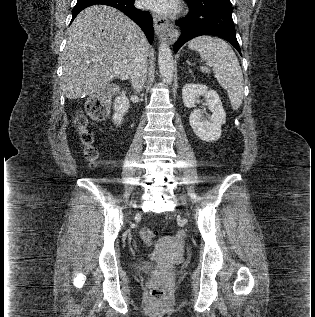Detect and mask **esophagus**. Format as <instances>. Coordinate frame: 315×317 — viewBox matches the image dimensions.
Returning a JSON list of instances; mask_svg holds the SVG:
<instances>
[{
	"label": "esophagus",
	"instance_id": "esophagus-1",
	"mask_svg": "<svg viewBox=\"0 0 315 317\" xmlns=\"http://www.w3.org/2000/svg\"><path fill=\"white\" fill-rule=\"evenodd\" d=\"M153 22L155 33L158 37H164L169 42H174L179 37V32L175 29L169 21L162 16L153 14Z\"/></svg>",
	"mask_w": 315,
	"mask_h": 317
}]
</instances>
